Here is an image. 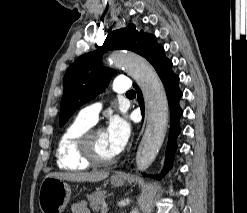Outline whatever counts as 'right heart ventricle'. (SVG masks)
Segmentation results:
<instances>
[{"instance_id":"1","label":"right heart ventricle","mask_w":247,"mask_h":213,"mask_svg":"<svg viewBox=\"0 0 247 213\" xmlns=\"http://www.w3.org/2000/svg\"><path fill=\"white\" fill-rule=\"evenodd\" d=\"M93 124L77 117L61 133L56 149L57 166L66 171H83L89 165L83 162L77 152V141L82 133Z\"/></svg>"}]
</instances>
